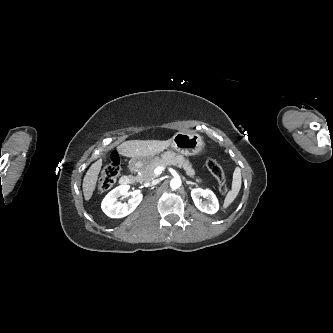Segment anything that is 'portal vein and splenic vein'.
<instances>
[{"label":"portal vein and splenic vein","instance_id":"portal-vein-and-splenic-vein-1","mask_svg":"<svg viewBox=\"0 0 333 333\" xmlns=\"http://www.w3.org/2000/svg\"><path fill=\"white\" fill-rule=\"evenodd\" d=\"M164 169H165V167L159 166V167L155 168L154 174L155 175H160Z\"/></svg>","mask_w":333,"mask_h":333}]
</instances>
